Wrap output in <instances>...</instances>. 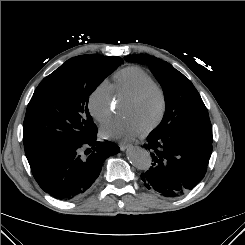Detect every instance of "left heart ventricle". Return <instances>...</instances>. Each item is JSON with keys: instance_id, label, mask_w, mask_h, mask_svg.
Listing matches in <instances>:
<instances>
[{"instance_id": "1", "label": "left heart ventricle", "mask_w": 245, "mask_h": 245, "mask_svg": "<svg viewBox=\"0 0 245 245\" xmlns=\"http://www.w3.org/2000/svg\"><path fill=\"white\" fill-rule=\"evenodd\" d=\"M161 100L154 89L147 90L139 99L123 103L122 115L140 132L149 127L157 118Z\"/></svg>"}]
</instances>
